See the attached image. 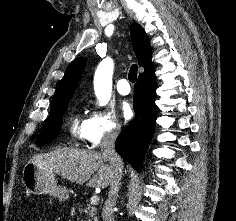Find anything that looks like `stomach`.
<instances>
[{
	"mask_svg": "<svg viewBox=\"0 0 236 221\" xmlns=\"http://www.w3.org/2000/svg\"><path fill=\"white\" fill-rule=\"evenodd\" d=\"M22 182L33 194H49L59 200H66L69 197L66 188L57 186L54 172L45 170L32 162L24 166Z\"/></svg>",
	"mask_w": 236,
	"mask_h": 221,
	"instance_id": "stomach-1",
	"label": "stomach"
}]
</instances>
